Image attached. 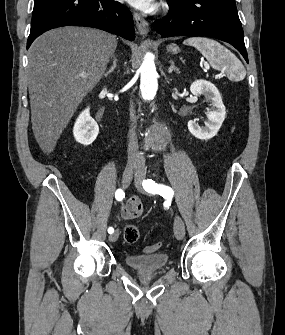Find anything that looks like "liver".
Wrapping results in <instances>:
<instances>
[{
  "mask_svg": "<svg viewBox=\"0 0 285 335\" xmlns=\"http://www.w3.org/2000/svg\"><path fill=\"white\" fill-rule=\"evenodd\" d=\"M116 48V36L77 26L50 30L33 42L28 50V90L32 130L42 152H53Z\"/></svg>",
  "mask_w": 285,
  "mask_h": 335,
  "instance_id": "1",
  "label": "liver"
}]
</instances>
